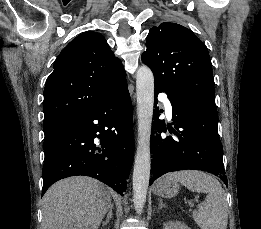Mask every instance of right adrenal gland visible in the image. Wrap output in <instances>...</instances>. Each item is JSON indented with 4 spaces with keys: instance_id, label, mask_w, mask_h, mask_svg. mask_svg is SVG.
Returning a JSON list of instances; mask_svg holds the SVG:
<instances>
[{
    "instance_id": "2a0ac1e0",
    "label": "right adrenal gland",
    "mask_w": 261,
    "mask_h": 229,
    "mask_svg": "<svg viewBox=\"0 0 261 229\" xmlns=\"http://www.w3.org/2000/svg\"><path fill=\"white\" fill-rule=\"evenodd\" d=\"M113 207H114V205H110L109 211L107 213V219H106V221H104V223H102V227H104V225H108V223H110V221L112 219Z\"/></svg>"
}]
</instances>
